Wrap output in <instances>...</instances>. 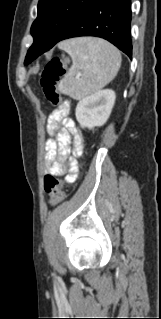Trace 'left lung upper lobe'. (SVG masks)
I'll return each mask as SVG.
<instances>
[{"mask_svg":"<svg viewBox=\"0 0 161 319\" xmlns=\"http://www.w3.org/2000/svg\"><path fill=\"white\" fill-rule=\"evenodd\" d=\"M95 1L39 0L38 16L31 27L34 43L27 53L29 56L37 55L31 61L58 43Z\"/></svg>","mask_w":161,"mask_h":319,"instance_id":"left-lung-upper-lobe-1","label":"left lung upper lobe"}]
</instances>
